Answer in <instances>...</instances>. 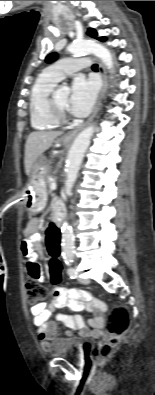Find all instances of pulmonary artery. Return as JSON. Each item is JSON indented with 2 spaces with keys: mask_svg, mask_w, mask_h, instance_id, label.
Segmentation results:
<instances>
[{
  "mask_svg": "<svg viewBox=\"0 0 155 395\" xmlns=\"http://www.w3.org/2000/svg\"><path fill=\"white\" fill-rule=\"evenodd\" d=\"M90 65L88 58H66L52 64L46 69V73L56 81H61L66 76L87 68Z\"/></svg>",
  "mask_w": 155,
  "mask_h": 395,
  "instance_id": "e3ab8cb5",
  "label": "pulmonary artery"
}]
</instances>
